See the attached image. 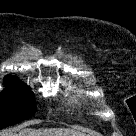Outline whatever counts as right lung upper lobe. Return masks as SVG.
<instances>
[{"label": "right lung upper lobe", "instance_id": "right-lung-upper-lobe-1", "mask_svg": "<svg viewBox=\"0 0 136 136\" xmlns=\"http://www.w3.org/2000/svg\"><path fill=\"white\" fill-rule=\"evenodd\" d=\"M16 80H19V79L14 77V76L8 75V76L5 77L4 83L13 82V81H16Z\"/></svg>", "mask_w": 136, "mask_h": 136}]
</instances>
